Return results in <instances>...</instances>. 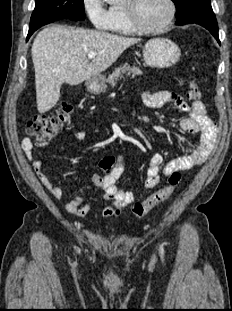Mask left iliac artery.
I'll return each mask as SVG.
<instances>
[{"instance_id": "left-iliac-artery-1", "label": "left iliac artery", "mask_w": 232, "mask_h": 311, "mask_svg": "<svg viewBox=\"0 0 232 311\" xmlns=\"http://www.w3.org/2000/svg\"><path fill=\"white\" fill-rule=\"evenodd\" d=\"M160 254H161V257L163 258L164 257V249H163L162 245L160 246Z\"/></svg>"}]
</instances>
